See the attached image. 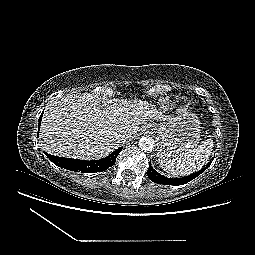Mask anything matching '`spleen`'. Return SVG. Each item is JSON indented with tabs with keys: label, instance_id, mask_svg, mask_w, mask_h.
I'll return each mask as SVG.
<instances>
[{
	"label": "spleen",
	"instance_id": "obj_1",
	"mask_svg": "<svg viewBox=\"0 0 255 255\" xmlns=\"http://www.w3.org/2000/svg\"><path fill=\"white\" fill-rule=\"evenodd\" d=\"M213 140L208 138L192 149L180 153L172 158L159 155L158 162L161 168L172 175H188L202 168L212 153Z\"/></svg>",
	"mask_w": 255,
	"mask_h": 255
}]
</instances>
